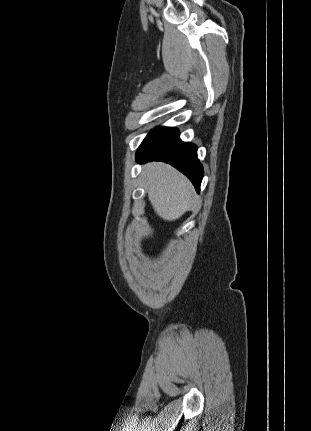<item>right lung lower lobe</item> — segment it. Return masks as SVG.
I'll return each instance as SVG.
<instances>
[{"mask_svg":"<svg viewBox=\"0 0 311 431\" xmlns=\"http://www.w3.org/2000/svg\"><path fill=\"white\" fill-rule=\"evenodd\" d=\"M139 163L163 161L186 175L199 193L203 168L197 157V147L179 139L176 128L158 127L151 131L136 152Z\"/></svg>","mask_w":311,"mask_h":431,"instance_id":"98d812e1","label":"right lung lower lobe"}]
</instances>
